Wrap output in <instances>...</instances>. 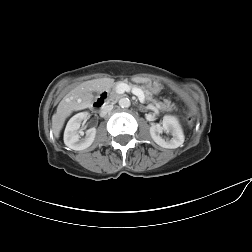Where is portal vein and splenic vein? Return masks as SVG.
I'll list each match as a JSON object with an SVG mask.
<instances>
[{
  "mask_svg": "<svg viewBox=\"0 0 252 252\" xmlns=\"http://www.w3.org/2000/svg\"><path fill=\"white\" fill-rule=\"evenodd\" d=\"M118 89L122 92L131 90V92L139 98L140 102H143L145 99L144 93L138 88L130 89V87L126 84H119Z\"/></svg>",
  "mask_w": 252,
  "mask_h": 252,
  "instance_id": "18ae733b",
  "label": "portal vein and splenic vein"
}]
</instances>
